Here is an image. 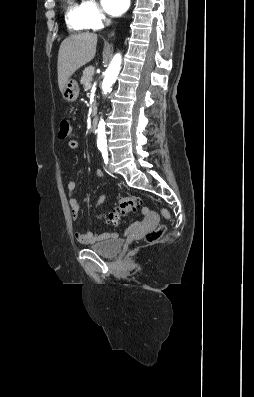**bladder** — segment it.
I'll list each match as a JSON object with an SVG mask.
<instances>
[{
  "label": "bladder",
  "mask_w": 254,
  "mask_h": 397,
  "mask_svg": "<svg viewBox=\"0 0 254 397\" xmlns=\"http://www.w3.org/2000/svg\"><path fill=\"white\" fill-rule=\"evenodd\" d=\"M122 243L119 239H110L90 246V249L102 257L113 258L121 250Z\"/></svg>",
  "instance_id": "31cf9c89"
}]
</instances>
